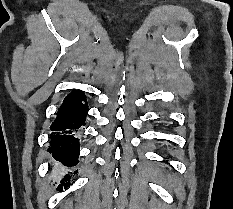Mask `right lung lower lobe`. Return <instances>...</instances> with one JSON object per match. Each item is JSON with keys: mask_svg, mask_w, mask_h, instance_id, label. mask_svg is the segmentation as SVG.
Segmentation results:
<instances>
[{"mask_svg": "<svg viewBox=\"0 0 233 209\" xmlns=\"http://www.w3.org/2000/svg\"><path fill=\"white\" fill-rule=\"evenodd\" d=\"M88 106L82 91H72L64 99L57 112V118L51 125V144L49 152L58 162L65 166L72 167L78 163L80 150L79 134L82 126L85 125ZM76 174V171L74 172ZM70 174H66L64 180L68 181ZM69 182H64L67 187Z\"/></svg>", "mask_w": 233, "mask_h": 209, "instance_id": "1", "label": "right lung lower lobe"}]
</instances>
